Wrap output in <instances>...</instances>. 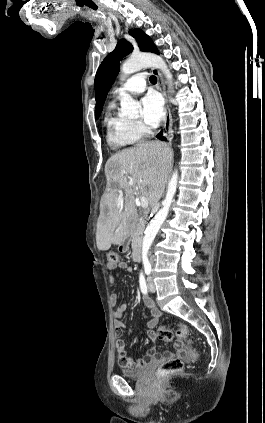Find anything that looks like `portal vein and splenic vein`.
<instances>
[{
	"instance_id": "1",
	"label": "portal vein and splenic vein",
	"mask_w": 265,
	"mask_h": 423,
	"mask_svg": "<svg viewBox=\"0 0 265 423\" xmlns=\"http://www.w3.org/2000/svg\"><path fill=\"white\" fill-rule=\"evenodd\" d=\"M130 185H132V182H130L129 183ZM148 200H147V198L145 197V196H141L140 197V205L143 207V208H147L148 207Z\"/></svg>"
}]
</instances>
